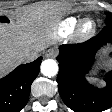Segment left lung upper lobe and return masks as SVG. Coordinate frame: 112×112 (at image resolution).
<instances>
[{
  "instance_id": "5c2ea615",
  "label": "left lung upper lobe",
  "mask_w": 112,
  "mask_h": 112,
  "mask_svg": "<svg viewBox=\"0 0 112 112\" xmlns=\"http://www.w3.org/2000/svg\"><path fill=\"white\" fill-rule=\"evenodd\" d=\"M105 14H106V20H105L106 26L112 25V13L106 12Z\"/></svg>"
}]
</instances>
